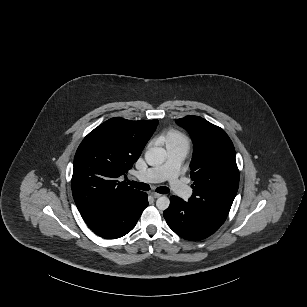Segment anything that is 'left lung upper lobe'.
Wrapping results in <instances>:
<instances>
[{"label": "left lung upper lobe", "instance_id": "obj_1", "mask_svg": "<svg viewBox=\"0 0 307 307\" xmlns=\"http://www.w3.org/2000/svg\"><path fill=\"white\" fill-rule=\"evenodd\" d=\"M176 122L189 132L194 144L190 163L193 195L188 202L224 222L239 186L234 146L223 129L199 116H186Z\"/></svg>", "mask_w": 307, "mask_h": 307}]
</instances>
